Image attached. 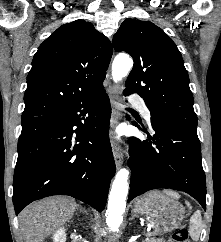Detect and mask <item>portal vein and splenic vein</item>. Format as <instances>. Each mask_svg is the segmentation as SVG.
Returning <instances> with one entry per match:
<instances>
[{
    "label": "portal vein and splenic vein",
    "mask_w": 221,
    "mask_h": 242,
    "mask_svg": "<svg viewBox=\"0 0 221 242\" xmlns=\"http://www.w3.org/2000/svg\"><path fill=\"white\" fill-rule=\"evenodd\" d=\"M146 231H147L146 236H152L151 228H147Z\"/></svg>",
    "instance_id": "portal-vein-and-splenic-vein-1"
}]
</instances>
